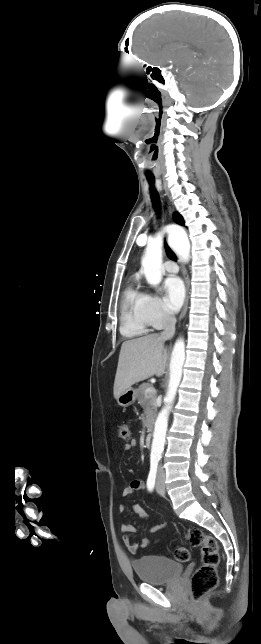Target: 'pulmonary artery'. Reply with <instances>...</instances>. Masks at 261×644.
Instances as JSON below:
<instances>
[{"label":"pulmonary artery","mask_w":261,"mask_h":644,"mask_svg":"<svg viewBox=\"0 0 261 644\" xmlns=\"http://www.w3.org/2000/svg\"><path fill=\"white\" fill-rule=\"evenodd\" d=\"M164 268H165V270H166L167 272H169V273H176V272H178V266H177V265H176V263H174L173 261H167V262H165V263H164Z\"/></svg>","instance_id":"pulmonary-artery-1"}]
</instances>
